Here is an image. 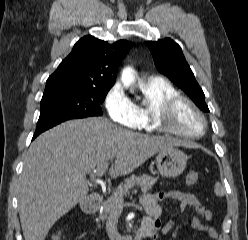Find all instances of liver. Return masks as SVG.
Wrapping results in <instances>:
<instances>
[{
    "mask_svg": "<svg viewBox=\"0 0 248 240\" xmlns=\"http://www.w3.org/2000/svg\"><path fill=\"white\" fill-rule=\"evenodd\" d=\"M183 145L179 140L143 135L105 118L66 121L31 144L19 185V215L25 240H45L54 223L89 191L87 171L115 161L116 178L130 174L160 151Z\"/></svg>",
    "mask_w": 248,
    "mask_h": 240,
    "instance_id": "liver-1",
    "label": "liver"
}]
</instances>
